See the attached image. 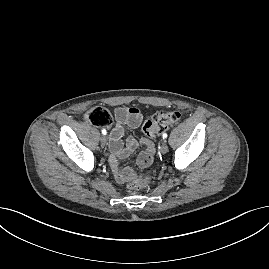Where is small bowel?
Segmentation results:
<instances>
[{
	"instance_id": "obj_1",
	"label": "small bowel",
	"mask_w": 269,
	"mask_h": 269,
	"mask_svg": "<svg viewBox=\"0 0 269 269\" xmlns=\"http://www.w3.org/2000/svg\"><path fill=\"white\" fill-rule=\"evenodd\" d=\"M116 124L110 133V167L116 180L119 183L131 181L135 177V173L130 168L121 169L120 162L122 159L128 157L139 146L145 147L137 158V165L140 168L148 167L152 161L155 153L154 144L151 140L142 138L127 137L125 144L123 142L124 127L136 129L143 120V115L138 108L135 107H118L114 111Z\"/></svg>"
}]
</instances>
